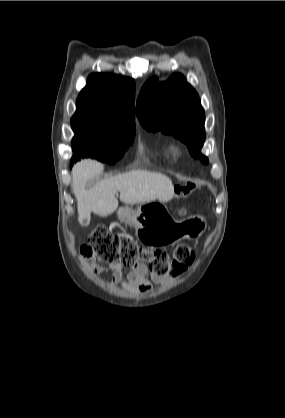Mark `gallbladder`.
Instances as JSON below:
<instances>
[{"instance_id":"gallbladder-1","label":"gallbladder","mask_w":285,"mask_h":418,"mask_svg":"<svg viewBox=\"0 0 285 418\" xmlns=\"http://www.w3.org/2000/svg\"><path fill=\"white\" fill-rule=\"evenodd\" d=\"M89 222H90V216H87V217L83 218L80 223H81V225L86 226V225L89 224Z\"/></svg>"}]
</instances>
